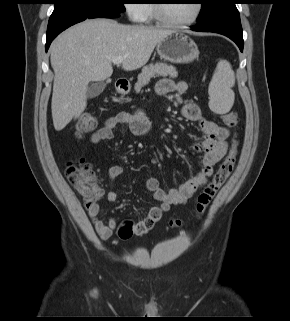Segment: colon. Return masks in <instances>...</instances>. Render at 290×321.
I'll return each instance as SVG.
<instances>
[{"label": "colon", "instance_id": "colon-1", "mask_svg": "<svg viewBox=\"0 0 290 321\" xmlns=\"http://www.w3.org/2000/svg\"><path fill=\"white\" fill-rule=\"evenodd\" d=\"M222 117L228 126L237 127L239 124V117L234 111L225 113ZM95 127V118L90 114H83L77 121L76 133L78 136H83L92 132ZM236 156L237 142L234 141L232 148L219 166L213 178L197 197L196 210L199 216L204 214L220 188L231 175L234 169ZM65 176L76 193L83 200L86 207L94 205L101 197L102 189L97 183L93 168L85 159L79 158L68 162L65 169ZM171 226L179 227L181 226V221L173 220L171 221ZM118 234L122 239H128L133 234H136L134 223L131 221L122 223L119 227Z\"/></svg>", "mask_w": 290, "mask_h": 321}]
</instances>
